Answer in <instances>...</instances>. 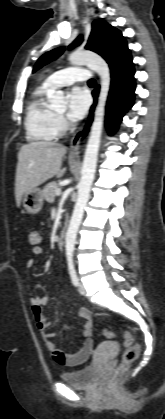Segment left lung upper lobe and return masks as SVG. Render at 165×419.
I'll use <instances>...</instances> for the list:
<instances>
[{
  "label": "left lung upper lobe",
  "instance_id": "obj_1",
  "mask_svg": "<svg viewBox=\"0 0 165 419\" xmlns=\"http://www.w3.org/2000/svg\"><path fill=\"white\" fill-rule=\"evenodd\" d=\"M81 42L82 38L79 37L69 48L75 47ZM85 48L101 55L109 66L128 50L126 40L122 36V33L103 20H95L92 23V31ZM63 51L64 48L61 47L45 53L38 59L33 71L58 58Z\"/></svg>",
  "mask_w": 165,
  "mask_h": 419
}]
</instances>
